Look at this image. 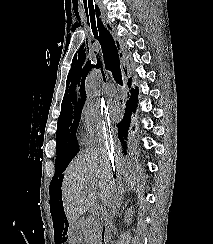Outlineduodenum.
<instances>
[{"instance_id": "410a0bca", "label": "duodenum", "mask_w": 213, "mask_h": 244, "mask_svg": "<svg viewBox=\"0 0 213 244\" xmlns=\"http://www.w3.org/2000/svg\"><path fill=\"white\" fill-rule=\"evenodd\" d=\"M103 220H104V222L108 223V220H109L108 209H104V212H103ZM102 239L103 240L105 239V232L102 233ZM101 244H104V241L101 242Z\"/></svg>"}]
</instances>
